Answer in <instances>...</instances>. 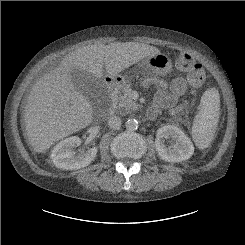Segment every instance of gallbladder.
I'll use <instances>...</instances> for the list:
<instances>
[{
	"label": "gallbladder",
	"mask_w": 245,
	"mask_h": 245,
	"mask_svg": "<svg viewBox=\"0 0 245 245\" xmlns=\"http://www.w3.org/2000/svg\"><path fill=\"white\" fill-rule=\"evenodd\" d=\"M71 78L76 90L84 94L92 104H97L102 99L104 88L99 80L79 70H73Z\"/></svg>",
	"instance_id": "1"
}]
</instances>
